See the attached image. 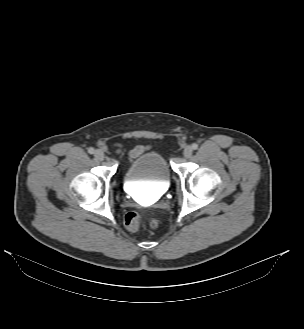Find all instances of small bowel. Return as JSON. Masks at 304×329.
I'll return each instance as SVG.
<instances>
[{"label":"small bowel","instance_id":"small-bowel-1","mask_svg":"<svg viewBox=\"0 0 304 329\" xmlns=\"http://www.w3.org/2000/svg\"><path fill=\"white\" fill-rule=\"evenodd\" d=\"M118 148H120L118 146ZM145 150V147L142 145L135 146L130 152H129V160L132 161L135 157L143 153Z\"/></svg>","mask_w":304,"mask_h":329}]
</instances>
